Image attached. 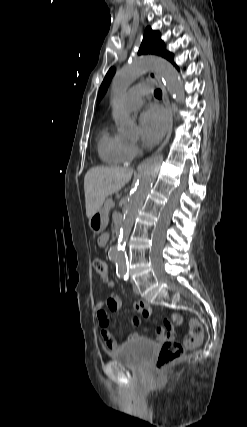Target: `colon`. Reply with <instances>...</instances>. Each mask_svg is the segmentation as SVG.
<instances>
[{"instance_id": "obj_1", "label": "colon", "mask_w": 247, "mask_h": 427, "mask_svg": "<svg viewBox=\"0 0 247 427\" xmlns=\"http://www.w3.org/2000/svg\"><path fill=\"white\" fill-rule=\"evenodd\" d=\"M93 266L97 275L102 280H107V263L104 260L96 259L93 262ZM189 328L190 334L184 343L168 341L163 344L155 361L156 371H162L163 369L169 367L170 365L182 359L186 355L187 351L194 350L201 345L203 338L202 326L196 320L191 319L189 321Z\"/></svg>"}]
</instances>
